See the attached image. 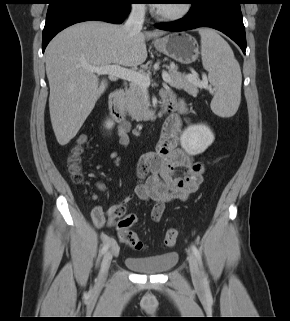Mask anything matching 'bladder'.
Wrapping results in <instances>:
<instances>
[{"instance_id":"obj_1","label":"bladder","mask_w":290,"mask_h":321,"mask_svg":"<svg viewBox=\"0 0 290 321\" xmlns=\"http://www.w3.org/2000/svg\"><path fill=\"white\" fill-rule=\"evenodd\" d=\"M176 252L150 257L127 256L125 264L132 270L144 274H160L171 269L177 262Z\"/></svg>"}]
</instances>
